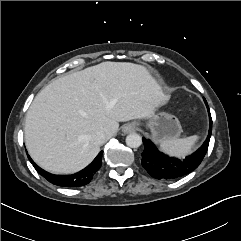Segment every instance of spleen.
<instances>
[{"mask_svg": "<svg viewBox=\"0 0 241 241\" xmlns=\"http://www.w3.org/2000/svg\"><path fill=\"white\" fill-rule=\"evenodd\" d=\"M197 140V135L180 139L165 140L160 143V148L171 156L184 157L191 152V149Z\"/></svg>", "mask_w": 241, "mask_h": 241, "instance_id": "obj_1", "label": "spleen"}]
</instances>
